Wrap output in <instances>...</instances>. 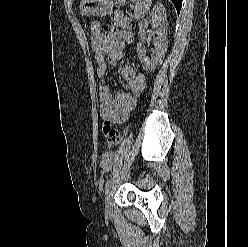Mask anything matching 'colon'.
I'll use <instances>...</instances> for the list:
<instances>
[{"instance_id": "obj_1", "label": "colon", "mask_w": 248, "mask_h": 247, "mask_svg": "<svg viewBox=\"0 0 248 247\" xmlns=\"http://www.w3.org/2000/svg\"><path fill=\"white\" fill-rule=\"evenodd\" d=\"M91 31L93 34H100L101 32V23L99 21H93L91 23ZM146 88V78L143 73H139L130 88L129 92V102H128V107L131 108L133 107L136 102L139 100V98L142 96L143 92L145 91Z\"/></svg>"}]
</instances>
